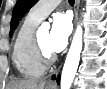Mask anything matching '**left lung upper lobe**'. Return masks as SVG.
<instances>
[{
    "label": "left lung upper lobe",
    "mask_w": 107,
    "mask_h": 89,
    "mask_svg": "<svg viewBox=\"0 0 107 89\" xmlns=\"http://www.w3.org/2000/svg\"><path fill=\"white\" fill-rule=\"evenodd\" d=\"M38 0H17V3L13 9L10 36L16 29L19 21L22 19L24 14L37 2Z\"/></svg>",
    "instance_id": "left-lung-upper-lobe-1"
}]
</instances>
